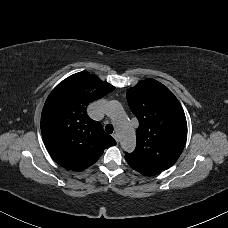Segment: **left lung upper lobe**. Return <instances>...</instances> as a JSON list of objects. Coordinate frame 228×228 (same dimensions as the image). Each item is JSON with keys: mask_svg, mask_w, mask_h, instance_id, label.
Returning a JSON list of instances; mask_svg holds the SVG:
<instances>
[{"mask_svg": "<svg viewBox=\"0 0 228 228\" xmlns=\"http://www.w3.org/2000/svg\"><path fill=\"white\" fill-rule=\"evenodd\" d=\"M127 101L139 127L136 148L125 155L149 166L168 169L181 155L187 139L186 117L179 101L154 79L129 88Z\"/></svg>", "mask_w": 228, "mask_h": 228, "instance_id": "left-lung-upper-lobe-1", "label": "left lung upper lobe"}]
</instances>
